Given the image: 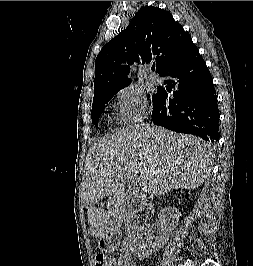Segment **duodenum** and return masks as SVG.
Returning a JSON list of instances; mask_svg holds the SVG:
<instances>
[{"label":"duodenum","instance_id":"410a0bca","mask_svg":"<svg viewBox=\"0 0 253 266\" xmlns=\"http://www.w3.org/2000/svg\"><path fill=\"white\" fill-rule=\"evenodd\" d=\"M105 240L106 241H108V242H113L114 241V239H115V234L114 233H108V234H106L105 235ZM124 261H129L130 263H132L133 261H131L130 259H128V258H124L123 259Z\"/></svg>","mask_w":253,"mask_h":266}]
</instances>
